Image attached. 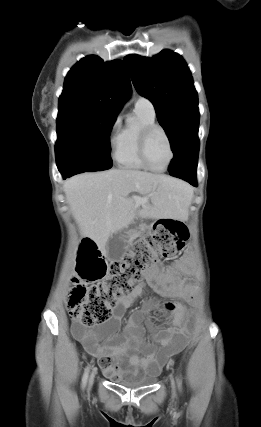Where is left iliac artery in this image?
<instances>
[{
  "mask_svg": "<svg viewBox=\"0 0 261 427\" xmlns=\"http://www.w3.org/2000/svg\"><path fill=\"white\" fill-rule=\"evenodd\" d=\"M178 385H179V387H181L180 381H178Z\"/></svg>",
  "mask_w": 261,
  "mask_h": 427,
  "instance_id": "1",
  "label": "left iliac artery"
}]
</instances>
